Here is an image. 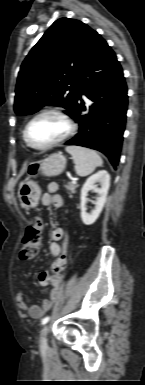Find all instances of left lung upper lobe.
Listing matches in <instances>:
<instances>
[{
  "label": "left lung upper lobe",
  "instance_id": "5c2ea615",
  "mask_svg": "<svg viewBox=\"0 0 145 385\" xmlns=\"http://www.w3.org/2000/svg\"><path fill=\"white\" fill-rule=\"evenodd\" d=\"M96 33L79 20H56L21 65L15 113L26 115L53 105L64 107L73 117L78 105L80 75Z\"/></svg>",
  "mask_w": 145,
  "mask_h": 385
}]
</instances>
